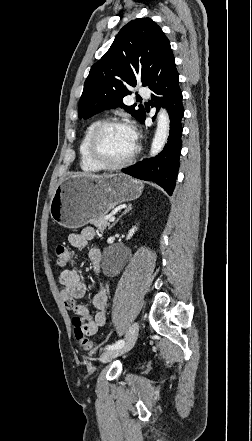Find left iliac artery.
Masks as SVG:
<instances>
[{"label":"left iliac artery","instance_id":"obj_1","mask_svg":"<svg viewBox=\"0 0 252 441\" xmlns=\"http://www.w3.org/2000/svg\"><path fill=\"white\" fill-rule=\"evenodd\" d=\"M124 345V340H118L115 344L112 345H108L106 346L105 349L110 350V349H117V348H121Z\"/></svg>","mask_w":252,"mask_h":441}]
</instances>
